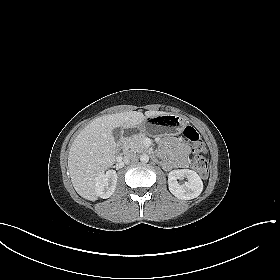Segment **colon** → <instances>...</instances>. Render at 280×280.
Listing matches in <instances>:
<instances>
[{
    "label": "colon",
    "instance_id": "5ec220e1",
    "mask_svg": "<svg viewBox=\"0 0 280 280\" xmlns=\"http://www.w3.org/2000/svg\"><path fill=\"white\" fill-rule=\"evenodd\" d=\"M183 135L185 139L191 144L193 153L192 167L203 178L207 177L209 172V165L204 156L207 151V146L200 136L199 132L192 126H187L184 129Z\"/></svg>",
    "mask_w": 280,
    "mask_h": 280
}]
</instances>
